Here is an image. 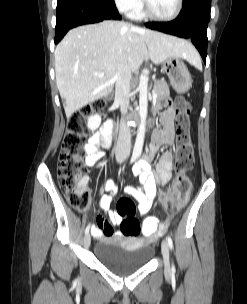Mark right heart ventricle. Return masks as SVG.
Listing matches in <instances>:
<instances>
[{
  "instance_id": "1",
  "label": "right heart ventricle",
  "mask_w": 247,
  "mask_h": 304,
  "mask_svg": "<svg viewBox=\"0 0 247 304\" xmlns=\"http://www.w3.org/2000/svg\"><path fill=\"white\" fill-rule=\"evenodd\" d=\"M131 16L135 19H141L144 16V13L141 8H138L131 13Z\"/></svg>"
}]
</instances>
